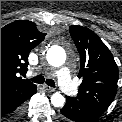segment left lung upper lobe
Listing matches in <instances>:
<instances>
[{
	"instance_id": "5c2ea615",
	"label": "left lung upper lobe",
	"mask_w": 122,
	"mask_h": 122,
	"mask_svg": "<svg viewBox=\"0 0 122 122\" xmlns=\"http://www.w3.org/2000/svg\"><path fill=\"white\" fill-rule=\"evenodd\" d=\"M70 35L80 53L77 99L107 110L117 92L118 67L112 53L90 29L72 25Z\"/></svg>"
}]
</instances>
